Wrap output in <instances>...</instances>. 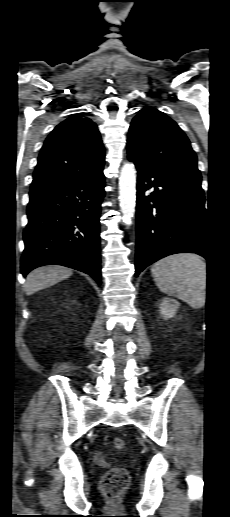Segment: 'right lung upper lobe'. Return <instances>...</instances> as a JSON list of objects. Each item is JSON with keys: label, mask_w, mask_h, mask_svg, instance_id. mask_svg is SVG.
<instances>
[{"label": "right lung upper lobe", "mask_w": 230, "mask_h": 517, "mask_svg": "<svg viewBox=\"0 0 230 517\" xmlns=\"http://www.w3.org/2000/svg\"><path fill=\"white\" fill-rule=\"evenodd\" d=\"M104 147L97 126L82 115L57 125L44 142L31 191L69 183L103 168Z\"/></svg>", "instance_id": "obj_1"}]
</instances>
